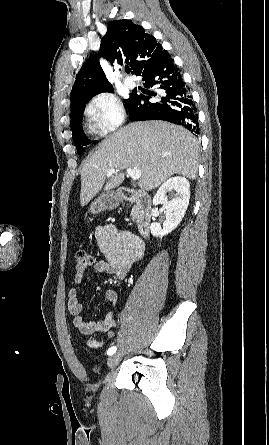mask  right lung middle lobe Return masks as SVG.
<instances>
[{"label": "right lung middle lobe", "mask_w": 269, "mask_h": 445, "mask_svg": "<svg viewBox=\"0 0 269 445\" xmlns=\"http://www.w3.org/2000/svg\"><path fill=\"white\" fill-rule=\"evenodd\" d=\"M112 92V91H111ZM134 94H130L128 99H125L124 102L129 110ZM88 101L81 102L73 107H71V129H72V137L74 140V144L76 145V149L79 154H82L85 151V146L90 144L91 141L86 137L83 132L81 117L85 107V104ZM92 143H96L93 141Z\"/></svg>", "instance_id": "1"}]
</instances>
